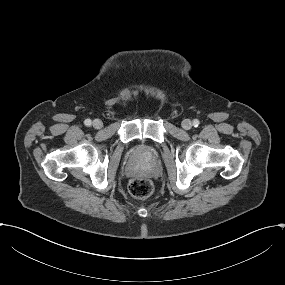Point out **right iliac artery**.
<instances>
[{
    "mask_svg": "<svg viewBox=\"0 0 285 285\" xmlns=\"http://www.w3.org/2000/svg\"><path fill=\"white\" fill-rule=\"evenodd\" d=\"M84 124H85L86 126H90V125H91V120H90V119H86V120L84 121Z\"/></svg>",
    "mask_w": 285,
    "mask_h": 285,
    "instance_id": "82829eb1",
    "label": "right iliac artery"
}]
</instances>
